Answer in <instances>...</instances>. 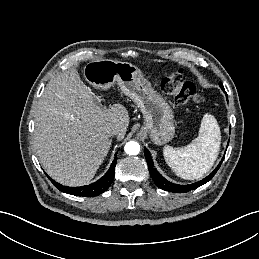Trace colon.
Returning <instances> with one entry per match:
<instances>
[{
  "instance_id": "5ec220e1",
  "label": "colon",
  "mask_w": 259,
  "mask_h": 259,
  "mask_svg": "<svg viewBox=\"0 0 259 259\" xmlns=\"http://www.w3.org/2000/svg\"><path fill=\"white\" fill-rule=\"evenodd\" d=\"M161 88L164 92L173 96L175 102L179 105H197L205 100L192 82L184 80L181 69L168 71L161 82Z\"/></svg>"
}]
</instances>
